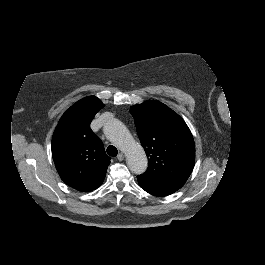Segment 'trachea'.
Masks as SVG:
<instances>
[{
  "mask_svg": "<svg viewBox=\"0 0 265 265\" xmlns=\"http://www.w3.org/2000/svg\"><path fill=\"white\" fill-rule=\"evenodd\" d=\"M107 154L109 156L115 157L118 154V150H117V148L115 146L109 145L107 147Z\"/></svg>",
  "mask_w": 265,
  "mask_h": 265,
  "instance_id": "trachea-1",
  "label": "trachea"
}]
</instances>
